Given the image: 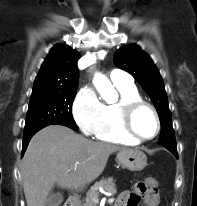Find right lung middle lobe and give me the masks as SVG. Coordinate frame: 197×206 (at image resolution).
Returning a JSON list of instances; mask_svg holds the SVG:
<instances>
[{"mask_svg":"<svg viewBox=\"0 0 197 206\" xmlns=\"http://www.w3.org/2000/svg\"><path fill=\"white\" fill-rule=\"evenodd\" d=\"M77 88L33 90L27 112L24 135L49 125L78 127L72 116V104Z\"/></svg>","mask_w":197,"mask_h":206,"instance_id":"dd1d6c3e","label":"right lung middle lobe"}]
</instances>
